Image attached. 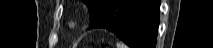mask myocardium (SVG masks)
I'll return each mask as SVG.
<instances>
[{
    "instance_id": "f54148a6",
    "label": "myocardium",
    "mask_w": 213,
    "mask_h": 48,
    "mask_svg": "<svg viewBox=\"0 0 213 48\" xmlns=\"http://www.w3.org/2000/svg\"><path fill=\"white\" fill-rule=\"evenodd\" d=\"M69 24H70L71 27H75L76 26V22L74 20H71Z\"/></svg>"
}]
</instances>
